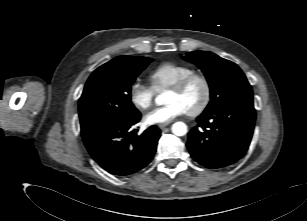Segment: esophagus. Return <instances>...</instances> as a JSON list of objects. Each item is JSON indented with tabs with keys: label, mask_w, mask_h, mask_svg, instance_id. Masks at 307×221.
<instances>
[{
	"label": "esophagus",
	"mask_w": 307,
	"mask_h": 221,
	"mask_svg": "<svg viewBox=\"0 0 307 221\" xmlns=\"http://www.w3.org/2000/svg\"><path fill=\"white\" fill-rule=\"evenodd\" d=\"M169 124H170V122L165 123V124H160V125H158V127H159L160 129H164V128L167 127Z\"/></svg>",
	"instance_id": "esophagus-1"
}]
</instances>
